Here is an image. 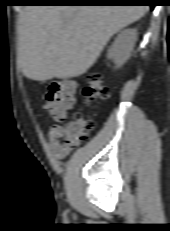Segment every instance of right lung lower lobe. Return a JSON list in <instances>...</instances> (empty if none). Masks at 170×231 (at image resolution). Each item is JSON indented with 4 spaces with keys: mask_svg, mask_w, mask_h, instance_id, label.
<instances>
[{
    "mask_svg": "<svg viewBox=\"0 0 170 231\" xmlns=\"http://www.w3.org/2000/svg\"><path fill=\"white\" fill-rule=\"evenodd\" d=\"M30 4L41 5H148L151 9L156 0H28Z\"/></svg>",
    "mask_w": 170,
    "mask_h": 231,
    "instance_id": "1",
    "label": "right lung lower lobe"
}]
</instances>
